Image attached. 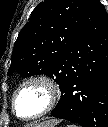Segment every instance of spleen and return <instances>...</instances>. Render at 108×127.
<instances>
[{
    "mask_svg": "<svg viewBox=\"0 0 108 127\" xmlns=\"http://www.w3.org/2000/svg\"><path fill=\"white\" fill-rule=\"evenodd\" d=\"M68 127H77V126H76V125L71 124V125H68Z\"/></svg>",
    "mask_w": 108,
    "mask_h": 127,
    "instance_id": "1",
    "label": "spleen"
}]
</instances>
